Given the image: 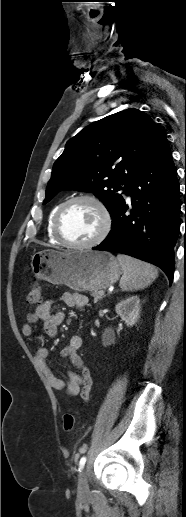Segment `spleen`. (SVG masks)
Segmentation results:
<instances>
[{
  "label": "spleen",
  "instance_id": "obj_1",
  "mask_svg": "<svg viewBox=\"0 0 186 517\" xmlns=\"http://www.w3.org/2000/svg\"><path fill=\"white\" fill-rule=\"evenodd\" d=\"M117 259L123 271L119 284L122 291L144 289L158 276V270L149 263L122 254Z\"/></svg>",
  "mask_w": 186,
  "mask_h": 517
}]
</instances>
